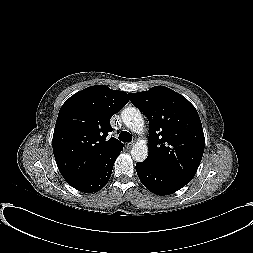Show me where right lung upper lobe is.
Segmentation results:
<instances>
[{"label": "right lung upper lobe", "mask_w": 253, "mask_h": 253, "mask_svg": "<svg viewBox=\"0 0 253 253\" xmlns=\"http://www.w3.org/2000/svg\"><path fill=\"white\" fill-rule=\"evenodd\" d=\"M129 101L123 91L105 85L88 87L61 107L53 134V152L67 182L84 178L102 168L123 144L111 137V117Z\"/></svg>", "instance_id": "obj_1"}]
</instances>
